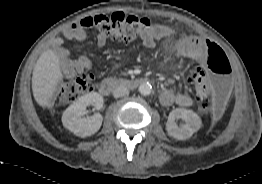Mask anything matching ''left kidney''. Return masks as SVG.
<instances>
[{
  "label": "left kidney",
  "instance_id": "left-kidney-1",
  "mask_svg": "<svg viewBox=\"0 0 262 184\" xmlns=\"http://www.w3.org/2000/svg\"><path fill=\"white\" fill-rule=\"evenodd\" d=\"M182 119L185 124L178 127L175 120ZM201 127L200 117L192 110L177 108L170 112L166 123L168 134L177 140L190 138Z\"/></svg>",
  "mask_w": 262,
  "mask_h": 184
}]
</instances>
